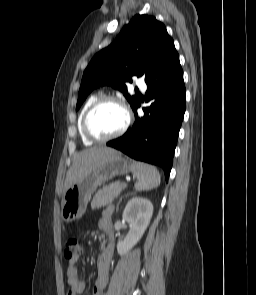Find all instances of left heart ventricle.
<instances>
[{
  "mask_svg": "<svg viewBox=\"0 0 256 295\" xmlns=\"http://www.w3.org/2000/svg\"><path fill=\"white\" fill-rule=\"evenodd\" d=\"M125 121L123 110L114 103H104L97 107L89 118V128L98 137L117 132Z\"/></svg>",
  "mask_w": 256,
  "mask_h": 295,
  "instance_id": "obj_1",
  "label": "left heart ventricle"
}]
</instances>
